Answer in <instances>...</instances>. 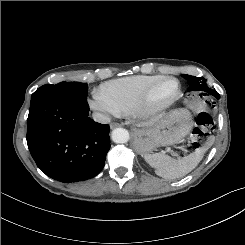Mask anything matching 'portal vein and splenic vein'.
<instances>
[{"label": "portal vein and splenic vein", "instance_id": "1", "mask_svg": "<svg viewBox=\"0 0 245 245\" xmlns=\"http://www.w3.org/2000/svg\"><path fill=\"white\" fill-rule=\"evenodd\" d=\"M167 150L169 151V152H171L172 153V150L170 149V148H167ZM174 154V153H173Z\"/></svg>", "mask_w": 245, "mask_h": 245}]
</instances>
